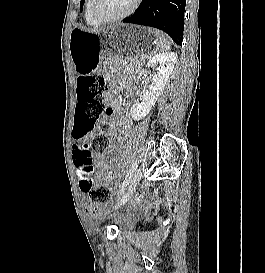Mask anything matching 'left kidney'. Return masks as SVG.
<instances>
[{"mask_svg":"<svg viewBox=\"0 0 265 273\" xmlns=\"http://www.w3.org/2000/svg\"><path fill=\"white\" fill-rule=\"evenodd\" d=\"M176 61L177 54L174 52H163L150 58L147 67L153 68L159 64V70L151 76V85L141 92V101L136 102L131 107L130 114L135 121L143 119L150 112L163 91Z\"/></svg>","mask_w":265,"mask_h":273,"instance_id":"1","label":"left kidney"}]
</instances>
